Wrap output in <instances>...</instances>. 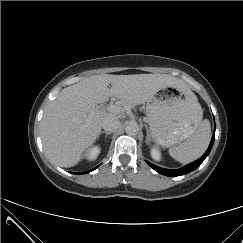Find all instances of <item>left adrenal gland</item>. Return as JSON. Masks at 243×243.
I'll return each instance as SVG.
<instances>
[{
	"instance_id": "left-adrenal-gland-1",
	"label": "left adrenal gland",
	"mask_w": 243,
	"mask_h": 243,
	"mask_svg": "<svg viewBox=\"0 0 243 243\" xmlns=\"http://www.w3.org/2000/svg\"><path fill=\"white\" fill-rule=\"evenodd\" d=\"M146 128V133H147V136H146V143L149 144V141H150V134H149V129L147 126H145Z\"/></svg>"
}]
</instances>
